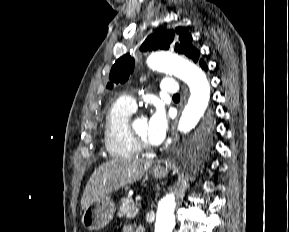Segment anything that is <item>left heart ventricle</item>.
Wrapping results in <instances>:
<instances>
[{
	"label": "left heart ventricle",
	"mask_w": 289,
	"mask_h": 232,
	"mask_svg": "<svg viewBox=\"0 0 289 232\" xmlns=\"http://www.w3.org/2000/svg\"><path fill=\"white\" fill-rule=\"evenodd\" d=\"M131 128L133 132L143 141L147 142L148 144H151L148 139L147 134V120L144 117H137L134 119V121L131 124Z\"/></svg>",
	"instance_id": "1"
}]
</instances>
